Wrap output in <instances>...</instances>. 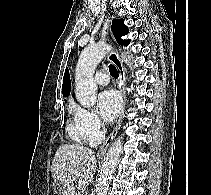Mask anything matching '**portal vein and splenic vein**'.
<instances>
[{"instance_id":"portal-vein-and-splenic-vein-1","label":"portal vein and splenic vein","mask_w":211,"mask_h":195,"mask_svg":"<svg viewBox=\"0 0 211 195\" xmlns=\"http://www.w3.org/2000/svg\"><path fill=\"white\" fill-rule=\"evenodd\" d=\"M75 176H76V177H79V176H80V173H79V172H76V173H75Z\"/></svg>"}]
</instances>
